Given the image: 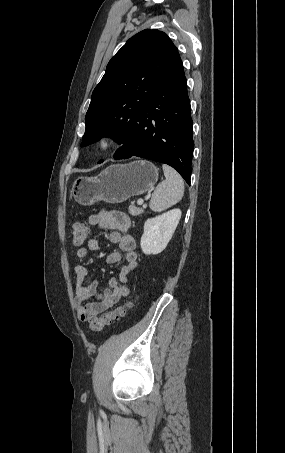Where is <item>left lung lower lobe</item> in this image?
Segmentation results:
<instances>
[{"mask_svg":"<svg viewBox=\"0 0 285 453\" xmlns=\"http://www.w3.org/2000/svg\"><path fill=\"white\" fill-rule=\"evenodd\" d=\"M192 133L187 82L177 53L113 158L138 156L168 164L190 185Z\"/></svg>","mask_w":285,"mask_h":453,"instance_id":"left-lung-lower-lobe-1","label":"left lung lower lobe"}]
</instances>
